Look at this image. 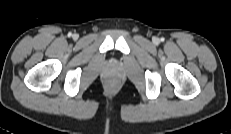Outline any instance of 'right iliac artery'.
I'll list each match as a JSON object with an SVG mask.
<instances>
[{
  "label": "right iliac artery",
  "mask_w": 231,
  "mask_h": 134,
  "mask_svg": "<svg viewBox=\"0 0 231 134\" xmlns=\"http://www.w3.org/2000/svg\"><path fill=\"white\" fill-rule=\"evenodd\" d=\"M72 35V33H68V36L70 37Z\"/></svg>",
  "instance_id": "obj_1"
}]
</instances>
